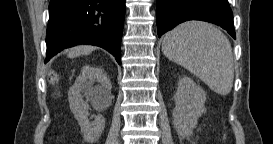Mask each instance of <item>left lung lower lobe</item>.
Here are the masks:
<instances>
[{
	"label": "left lung lower lobe",
	"instance_id": "0a47b994",
	"mask_svg": "<svg viewBox=\"0 0 273 144\" xmlns=\"http://www.w3.org/2000/svg\"><path fill=\"white\" fill-rule=\"evenodd\" d=\"M188 20L214 23L235 38L233 13L228 0H157L158 37Z\"/></svg>",
	"mask_w": 273,
	"mask_h": 144
}]
</instances>
